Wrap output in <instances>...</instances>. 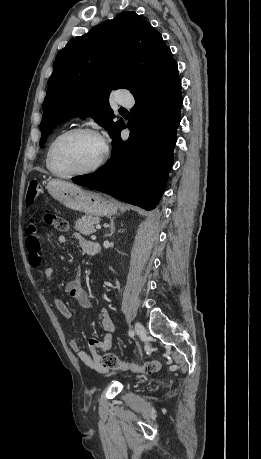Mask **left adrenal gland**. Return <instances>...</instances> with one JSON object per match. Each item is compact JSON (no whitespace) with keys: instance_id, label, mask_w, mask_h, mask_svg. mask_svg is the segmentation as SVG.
I'll return each instance as SVG.
<instances>
[{"instance_id":"a2214340","label":"left adrenal gland","mask_w":261,"mask_h":459,"mask_svg":"<svg viewBox=\"0 0 261 459\" xmlns=\"http://www.w3.org/2000/svg\"><path fill=\"white\" fill-rule=\"evenodd\" d=\"M109 228L110 232L108 234H105V237L112 236L115 231L114 218L110 220Z\"/></svg>"}]
</instances>
